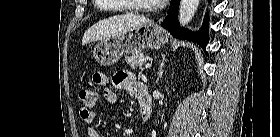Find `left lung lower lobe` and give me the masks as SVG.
Masks as SVG:
<instances>
[{
    "mask_svg": "<svg viewBox=\"0 0 280 137\" xmlns=\"http://www.w3.org/2000/svg\"><path fill=\"white\" fill-rule=\"evenodd\" d=\"M180 0H172L170 11L168 16L164 19L161 24L165 29H167L173 37L178 39H187L198 43L204 50L208 43V16L206 15L202 24V27L197 32H191L188 29L181 28L178 21V8Z\"/></svg>",
    "mask_w": 280,
    "mask_h": 137,
    "instance_id": "0a47b994",
    "label": "left lung lower lobe"
}]
</instances>
